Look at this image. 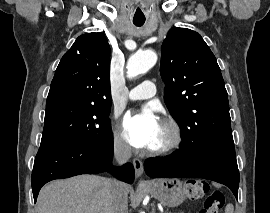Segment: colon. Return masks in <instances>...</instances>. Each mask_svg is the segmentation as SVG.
Instances as JSON below:
<instances>
[{"mask_svg":"<svg viewBox=\"0 0 270 213\" xmlns=\"http://www.w3.org/2000/svg\"><path fill=\"white\" fill-rule=\"evenodd\" d=\"M184 192L188 198L197 200L207 192V185L202 180L190 179L184 184ZM224 203L223 193L215 190L207 196L199 213H220Z\"/></svg>","mask_w":270,"mask_h":213,"instance_id":"obj_1","label":"colon"}]
</instances>
